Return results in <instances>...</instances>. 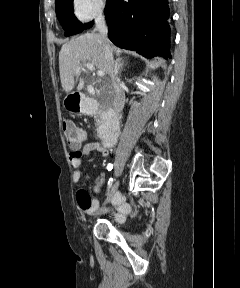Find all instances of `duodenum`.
<instances>
[{
	"instance_id": "1",
	"label": "duodenum",
	"mask_w": 240,
	"mask_h": 288,
	"mask_svg": "<svg viewBox=\"0 0 240 288\" xmlns=\"http://www.w3.org/2000/svg\"><path fill=\"white\" fill-rule=\"evenodd\" d=\"M73 101L77 106V112L84 114L99 113L102 119L101 143L107 147L112 146L119 135V123L112 110H99L97 102L82 95H75Z\"/></svg>"
}]
</instances>
